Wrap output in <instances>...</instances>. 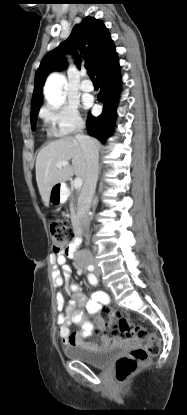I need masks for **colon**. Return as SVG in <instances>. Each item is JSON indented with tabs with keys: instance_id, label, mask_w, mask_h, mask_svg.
Instances as JSON below:
<instances>
[{
	"instance_id": "5ec220e1",
	"label": "colon",
	"mask_w": 187,
	"mask_h": 415,
	"mask_svg": "<svg viewBox=\"0 0 187 415\" xmlns=\"http://www.w3.org/2000/svg\"><path fill=\"white\" fill-rule=\"evenodd\" d=\"M50 233L53 251L57 254H68L75 242L74 230L65 221L54 220L50 224ZM96 314L97 325L105 333L118 334L142 342V346L133 348L128 355L116 361L117 380L125 381L145 365L150 357L160 352L159 339L150 334L146 327L133 323L108 306L99 307Z\"/></svg>"
}]
</instances>
